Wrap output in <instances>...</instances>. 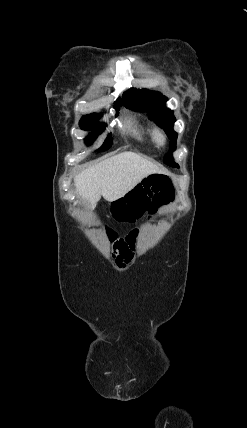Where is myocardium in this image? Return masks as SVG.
<instances>
[{
	"label": "myocardium",
	"instance_id": "obj_1",
	"mask_svg": "<svg viewBox=\"0 0 247 428\" xmlns=\"http://www.w3.org/2000/svg\"><path fill=\"white\" fill-rule=\"evenodd\" d=\"M154 138H155L156 142L160 145H162L166 142L165 134L159 129H156L154 131Z\"/></svg>",
	"mask_w": 247,
	"mask_h": 428
}]
</instances>
